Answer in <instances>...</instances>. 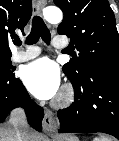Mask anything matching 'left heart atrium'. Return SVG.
<instances>
[{
    "mask_svg": "<svg viewBox=\"0 0 119 141\" xmlns=\"http://www.w3.org/2000/svg\"><path fill=\"white\" fill-rule=\"evenodd\" d=\"M22 79L30 92L39 99L54 97L60 88L59 69L48 58H41L27 65Z\"/></svg>",
    "mask_w": 119,
    "mask_h": 141,
    "instance_id": "left-heart-atrium-1",
    "label": "left heart atrium"
}]
</instances>
